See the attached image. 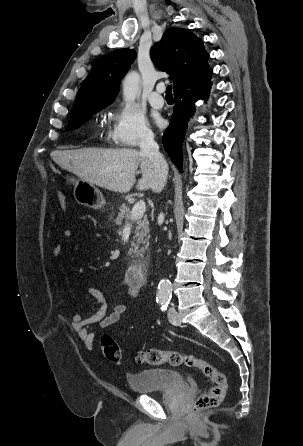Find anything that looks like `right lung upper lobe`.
Returning a JSON list of instances; mask_svg holds the SVG:
<instances>
[{"label":"right lung upper lobe","instance_id":"right-lung-upper-lobe-1","mask_svg":"<svg viewBox=\"0 0 303 446\" xmlns=\"http://www.w3.org/2000/svg\"><path fill=\"white\" fill-rule=\"evenodd\" d=\"M150 55L161 71L172 75L174 91L212 74L202 41L186 29L166 30L162 39L153 45ZM135 56L134 50L124 48L101 57L81 86L72 114L113 102L120 79Z\"/></svg>","mask_w":303,"mask_h":446}]
</instances>
